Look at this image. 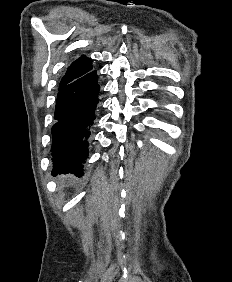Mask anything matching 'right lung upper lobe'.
<instances>
[{
	"instance_id": "cb5924a9",
	"label": "right lung upper lobe",
	"mask_w": 232,
	"mask_h": 282,
	"mask_svg": "<svg viewBox=\"0 0 232 282\" xmlns=\"http://www.w3.org/2000/svg\"><path fill=\"white\" fill-rule=\"evenodd\" d=\"M92 70L91 59L82 55L79 59L72 62L65 75L62 77L60 85L69 83ZM59 85V86H60Z\"/></svg>"
}]
</instances>
